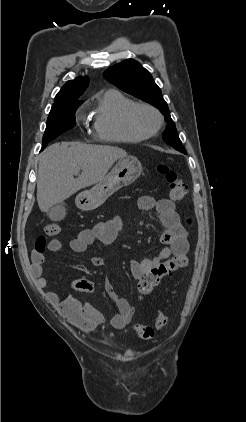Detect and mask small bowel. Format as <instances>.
<instances>
[{"label":"small bowel","instance_id":"small-bowel-1","mask_svg":"<svg viewBox=\"0 0 246 422\" xmlns=\"http://www.w3.org/2000/svg\"><path fill=\"white\" fill-rule=\"evenodd\" d=\"M138 207L142 212L155 208L162 225L166 228L160 238L161 243L165 246L155 256L131 261V273L135 279L139 280L151 268L158 266L170 257L187 255L189 242L187 231L180 221L172 200H156L151 196L145 195L140 197ZM122 226L123 222L120 217L100 222L92 228L81 230L70 241L69 246L73 252L82 253L95 241L109 244L114 241ZM61 248L62 243L58 239H52L48 243V249L52 252L59 251ZM31 260L32 271L37 277V285L42 289L47 288L48 280L42 276L45 261L44 253L34 250ZM90 262L96 267L104 265V260L100 257H92ZM70 288L75 291H92L95 289V284L84 280L74 281L71 283ZM104 290L117 307V313L110 318V324L116 329H122L131 321L134 308L127 299L119 295L116 288L109 281L104 282ZM46 297L75 327L83 331H91L105 321L100 311L88 303H81L72 295L60 299L59 293L51 290L46 292Z\"/></svg>","mask_w":246,"mask_h":422}]
</instances>
